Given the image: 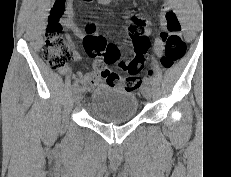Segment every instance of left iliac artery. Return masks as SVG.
Returning a JSON list of instances; mask_svg holds the SVG:
<instances>
[{
  "mask_svg": "<svg viewBox=\"0 0 231 177\" xmlns=\"http://www.w3.org/2000/svg\"><path fill=\"white\" fill-rule=\"evenodd\" d=\"M146 82L151 84V80L149 78H145Z\"/></svg>",
  "mask_w": 231,
  "mask_h": 177,
  "instance_id": "44dca946",
  "label": "left iliac artery"
}]
</instances>
